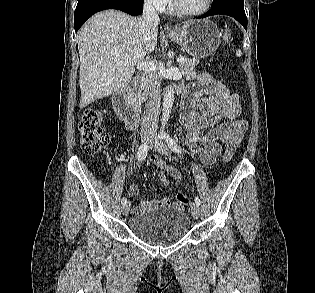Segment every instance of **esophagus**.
<instances>
[{"label": "esophagus", "mask_w": 315, "mask_h": 293, "mask_svg": "<svg viewBox=\"0 0 315 293\" xmlns=\"http://www.w3.org/2000/svg\"><path fill=\"white\" fill-rule=\"evenodd\" d=\"M164 32H172L173 31V27L171 26V24L167 23L164 28H163Z\"/></svg>", "instance_id": "obj_1"}]
</instances>
